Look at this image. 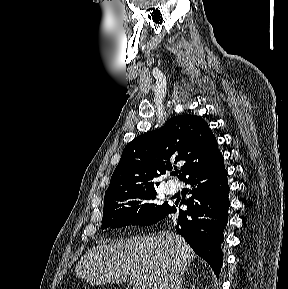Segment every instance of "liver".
I'll use <instances>...</instances> for the list:
<instances>
[{
	"instance_id": "6515ba94",
	"label": "liver",
	"mask_w": 288,
	"mask_h": 289,
	"mask_svg": "<svg viewBox=\"0 0 288 289\" xmlns=\"http://www.w3.org/2000/svg\"><path fill=\"white\" fill-rule=\"evenodd\" d=\"M194 258L182 237L162 231L147 237L101 241L84 254L75 270L77 277L90 285L122 284L130 278L135 289H159L167 268L184 272Z\"/></svg>"
}]
</instances>
